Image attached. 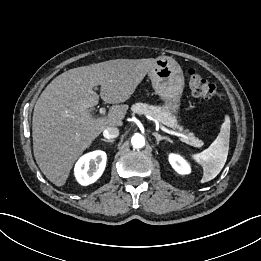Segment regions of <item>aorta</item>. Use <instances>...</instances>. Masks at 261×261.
I'll return each instance as SVG.
<instances>
[{
    "label": "aorta",
    "mask_w": 261,
    "mask_h": 261,
    "mask_svg": "<svg viewBox=\"0 0 261 261\" xmlns=\"http://www.w3.org/2000/svg\"><path fill=\"white\" fill-rule=\"evenodd\" d=\"M131 143L134 148H142L145 145V138L141 134H135L131 139Z\"/></svg>",
    "instance_id": "1"
}]
</instances>
